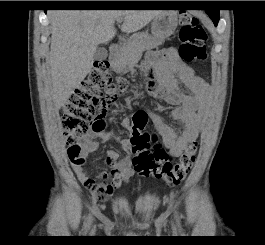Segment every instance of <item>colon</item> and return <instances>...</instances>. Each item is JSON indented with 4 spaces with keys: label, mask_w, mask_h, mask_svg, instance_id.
I'll list each match as a JSON object with an SVG mask.
<instances>
[{
    "label": "colon",
    "mask_w": 265,
    "mask_h": 245,
    "mask_svg": "<svg viewBox=\"0 0 265 245\" xmlns=\"http://www.w3.org/2000/svg\"><path fill=\"white\" fill-rule=\"evenodd\" d=\"M206 39V31L199 19L182 12L179 31L180 58L186 62L206 60ZM146 74L153 75L148 70ZM126 88L124 82H111L110 64L107 60L95 62L94 67L60 111L70 162L77 166L84 165L82 138L90 128L97 132L104 129L102 115L114 108ZM147 121L148 115L142 110L134 113L131 118L133 169L142 176H153L163 179L167 185H177L185 178L195 162L197 142L189 143L174 161L173 155L165 148L151 145V135L143 131Z\"/></svg>",
    "instance_id": "5ec220e1"
}]
</instances>
